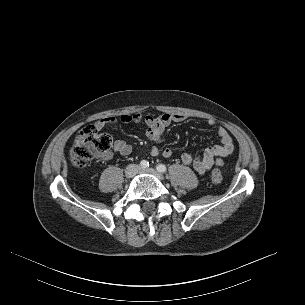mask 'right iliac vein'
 Here are the masks:
<instances>
[{
    "label": "right iliac vein",
    "mask_w": 305,
    "mask_h": 305,
    "mask_svg": "<svg viewBox=\"0 0 305 305\" xmlns=\"http://www.w3.org/2000/svg\"><path fill=\"white\" fill-rule=\"evenodd\" d=\"M138 171V167L136 165H129L125 170V176L127 178H132Z\"/></svg>",
    "instance_id": "63e3f726"
}]
</instances>
